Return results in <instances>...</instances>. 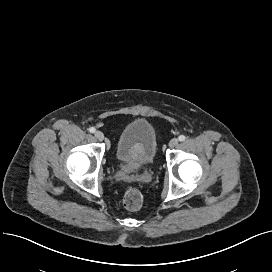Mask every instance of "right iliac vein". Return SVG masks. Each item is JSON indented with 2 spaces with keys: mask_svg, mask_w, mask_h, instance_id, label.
Wrapping results in <instances>:
<instances>
[{
  "mask_svg": "<svg viewBox=\"0 0 272 272\" xmlns=\"http://www.w3.org/2000/svg\"><path fill=\"white\" fill-rule=\"evenodd\" d=\"M94 135L99 141L104 140V134L101 131H96Z\"/></svg>",
  "mask_w": 272,
  "mask_h": 272,
  "instance_id": "63e3f726",
  "label": "right iliac vein"
}]
</instances>
